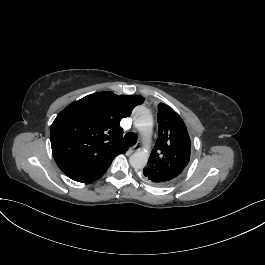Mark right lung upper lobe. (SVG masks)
<instances>
[{
	"instance_id": "cb5924a9",
	"label": "right lung upper lobe",
	"mask_w": 265,
	"mask_h": 265,
	"mask_svg": "<svg viewBox=\"0 0 265 265\" xmlns=\"http://www.w3.org/2000/svg\"><path fill=\"white\" fill-rule=\"evenodd\" d=\"M143 102L139 95L99 92L67 106L50 130L52 154L58 167L78 182L90 183L100 178L115 156L127 151L121 143L120 120Z\"/></svg>"
}]
</instances>
